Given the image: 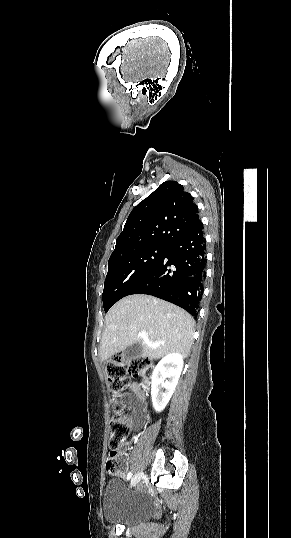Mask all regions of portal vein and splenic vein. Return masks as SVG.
Listing matches in <instances>:
<instances>
[{
	"label": "portal vein and splenic vein",
	"instance_id": "1",
	"mask_svg": "<svg viewBox=\"0 0 291 538\" xmlns=\"http://www.w3.org/2000/svg\"><path fill=\"white\" fill-rule=\"evenodd\" d=\"M139 335L143 340H145L147 343H149L148 342V336H147L146 332H140Z\"/></svg>",
	"mask_w": 291,
	"mask_h": 538
}]
</instances>
